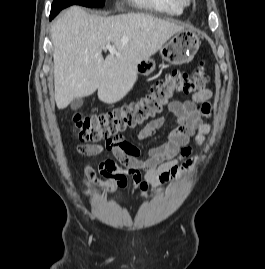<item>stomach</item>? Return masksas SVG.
<instances>
[{
  "mask_svg": "<svg viewBox=\"0 0 265 269\" xmlns=\"http://www.w3.org/2000/svg\"><path fill=\"white\" fill-rule=\"evenodd\" d=\"M200 40L196 33L184 29L175 33L168 42L160 49L162 59L172 65H181L189 62L197 53ZM136 72L140 75H149L155 70V61L146 59L139 61Z\"/></svg>",
  "mask_w": 265,
  "mask_h": 269,
  "instance_id": "0dacf381",
  "label": "stomach"
}]
</instances>
